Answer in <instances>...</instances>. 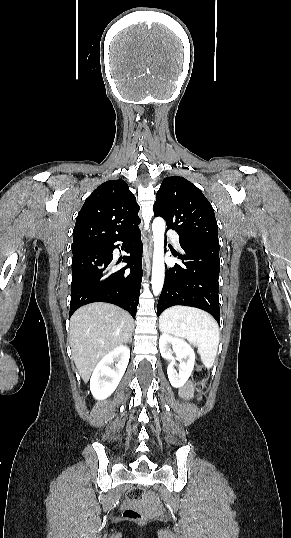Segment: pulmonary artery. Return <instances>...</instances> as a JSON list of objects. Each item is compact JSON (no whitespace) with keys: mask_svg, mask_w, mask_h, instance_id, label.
Here are the masks:
<instances>
[{"mask_svg":"<svg viewBox=\"0 0 291 538\" xmlns=\"http://www.w3.org/2000/svg\"><path fill=\"white\" fill-rule=\"evenodd\" d=\"M168 236L172 240L174 246L179 249L180 248V238L179 235L175 231H169Z\"/></svg>","mask_w":291,"mask_h":538,"instance_id":"obj_1","label":"pulmonary artery"}]
</instances>
